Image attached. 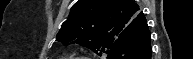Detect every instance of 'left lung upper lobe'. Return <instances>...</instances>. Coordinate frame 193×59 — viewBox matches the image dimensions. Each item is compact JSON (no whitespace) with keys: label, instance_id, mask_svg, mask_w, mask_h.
Listing matches in <instances>:
<instances>
[{"label":"left lung upper lobe","instance_id":"5c2ea615","mask_svg":"<svg viewBox=\"0 0 193 59\" xmlns=\"http://www.w3.org/2000/svg\"><path fill=\"white\" fill-rule=\"evenodd\" d=\"M142 15L133 0H78L56 39L64 45L78 43L104 55Z\"/></svg>","mask_w":193,"mask_h":59}]
</instances>
